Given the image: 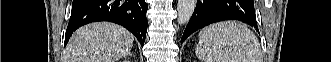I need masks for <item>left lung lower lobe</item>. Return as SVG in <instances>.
<instances>
[{
	"label": "left lung lower lobe",
	"instance_id": "1",
	"mask_svg": "<svg viewBox=\"0 0 331 62\" xmlns=\"http://www.w3.org/2000/svg\"><path fill=\"white\" fill-rule=\"evenodd\" d=\"M223 20H239L258 30L253 0H198L181 43L198 29Z\"/></svg>",
	"mask_w": 331,
	"mask_h": 62
}]
</instances>
